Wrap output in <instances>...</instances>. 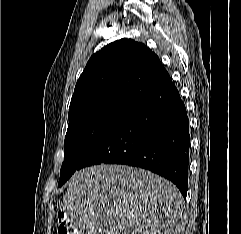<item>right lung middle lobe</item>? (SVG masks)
<instances>
[{"label":"right lung middle lobe","mask_w":241,"mask_h":234,"mask_svg":"<svg viewBox=\"0 0 241 234\" xmlns=\"http://www.w3.org/2000/svg\"><path fill=\"white\" fill-rule=\"evenodd\" d=\"M134 105L126 101H108L85 106L68 114L65 159L60 170L58 187L80 169V164L89 151L125 118Z\"/></svg>","instance_id":"right-lung-middle-lobe-1"}]
</instances>
